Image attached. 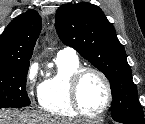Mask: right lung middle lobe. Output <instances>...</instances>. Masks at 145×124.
I'll return each instance as SVG.
<instances>
[{
  "instance_id": "dd1d6c3e",
  "label": "right lung middle lobe",
  "mask_w": 145,
  "mask_h": 124,
  "mask_svg": "<svg viewBox=\"0 0 145 124\" xmlns=\"http://www.w3.org/2000/svg\"><path fill=\"white\" fill-rule=\"evenodd\" d=\"M29 61L0 65V108H20L30 105L26 92Z\"/></svg>"
}]
</instances>
